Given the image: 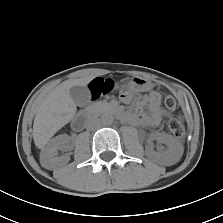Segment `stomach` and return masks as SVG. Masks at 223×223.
Here are the masks:
<instances>
[{"instance_id": "stomach-1", "label": "stomach", "mask_w": 223, "mask_h": 223, "mask_svg": "<svg viewBox=\"0 0 223 223\" xmlns=\"http://www.w3.org/2000/svg\"><path fill=\"white\" fill-rule=\"evenodd\" d=\"M151 87L152 85L150 82L139 77H134L127 83L123 84L121 89L128 92H136L149 90Z\"/></svg>"}]
</instances>
